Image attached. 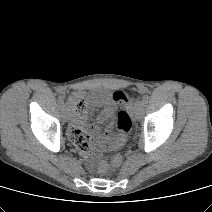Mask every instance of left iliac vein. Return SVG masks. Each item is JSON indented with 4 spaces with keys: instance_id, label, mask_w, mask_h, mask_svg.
Segmentation results:
<instances>
[{
    "instance_id": "4c4485c4",
    "label": "left iliac vein",
    "mask_w": 212,
    "mask_h": 212,
    "mask_svg": "<svg viewBox=\"0 0 212 212\" xmlns=\"http://www.w3.org/2000/svg\"><path fill=\"white\" fill-rule=\"evenodd\" d=\"M144 110V103L143 101H137L135 104V117L137 120H140Z\"/></svg>"
}]
</instances>
